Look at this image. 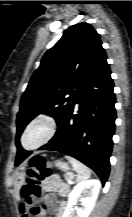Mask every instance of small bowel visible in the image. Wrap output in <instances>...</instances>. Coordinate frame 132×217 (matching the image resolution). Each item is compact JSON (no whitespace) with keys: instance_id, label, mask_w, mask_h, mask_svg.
<instances>
[{"instance_id":"c3829d8e","label":"small bowel","mask_w":132,"mask_h":217,"mask_svg":"<svg viewBox=\"0 0 132 217\" xmlns=\"http://www.w3.org/2000/svg\"><path fill=\"white\" fill-rule=\"evenodd\" d=\"M42 188L49 194L45 195L43 208L40 210L38 217H44L46 214H52L54 217H61L63 204L56 205L52 200V194L58 193L62 197H67L70 193L69 186L63 182L59 175L52 174L42 181ZM33 199L25 200L19 206L22 217H30L29 211L32 208Z\"/></svg>"}]
</instances>
